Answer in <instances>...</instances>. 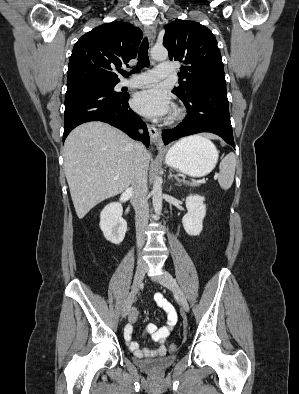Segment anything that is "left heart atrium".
<instances>
[{"instance_id":"1","label":"left heart atrium","mask_w":299,"mask_h":394,"mask_svg":"<svg viewBox=\"0 0 299 394\" xmlns=\"http://www.w3.org/2000/svg\"><path fill=\"white\" fill-rule=\"evenodd\" d=\"M132 106L138 113L150 118L166 116L173 108L168 94L157 86L149 87L135 94Z\"/></svg>"}]
</instances>
